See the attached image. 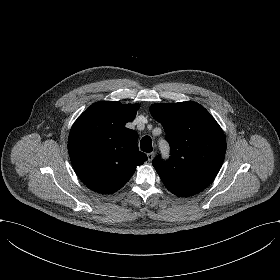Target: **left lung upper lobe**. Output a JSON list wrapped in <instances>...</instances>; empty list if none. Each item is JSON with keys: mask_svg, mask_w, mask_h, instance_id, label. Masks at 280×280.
Wrapping results in <instances>:
<instances>
[{"mask_svg": "<svg viewBox=\"0 0 280 280\" xmlns=\"http://www.w3.org/2000/svg\"><path fill=\"white\" fill-rule=\"evenodd\" d=\"M150 112L165 130L170 158L153 160L166 188L177 196L204 190L219 172L226 152L225 135L208 111L192 101L153 104Z\"/></svg>", "mask_w": 280, "mask_h": 280, "instance_id": "left-lung-upper-lobe-1", "label": "left lung upper lobe"}]
</instances>
